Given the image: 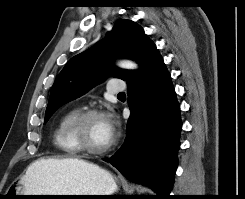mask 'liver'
Segmentation results:
<instances>
[{
    "mask_svg": "<svg viewBox=\"0 0 245 199\" xmlns=\"http://www.w3.org/2000/svg\"><path fill=\"white\" fill-rule=\"evenodd\" d=\"M86 163V161L75 158H42L32 163L23 178L27 181H33L34 184L42 180V178L49 173L57 172L66 169L71 164ZM27 186V183H26Z\"/></svg>",
    "mask_w": 245,
    "mask_h": 199,
    "instance_id": "1",
    "label": "liver"
}]
</instances>
